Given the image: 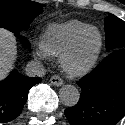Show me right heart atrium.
Instances as JSON below:
<instances>
[{
    "instance_id": "obj_1",
    "label": "right heart atrium",
    "mask_w": 125,
    "mask_h": 125,
    "mask_svg": "<svg viewBox=\"0 0 125 125\" xmlns=\"http://www.w3.org/2000/svg\"><path fill=\"white\" fill-rule=\"evenodd\" d=\"M34 58L41 61H49L52 58L42 38H34L32 42Z\"/></svg>"
}]
</instances>
